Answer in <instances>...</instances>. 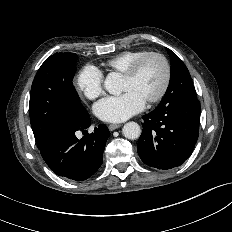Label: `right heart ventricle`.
Returning a JSON list of instances; mask_svg holds the SVG:
<instances>
[{
  "label": "right heart ventricle",
  "mask_w": 232,
  "mask_h": 232,
  "mask_svg": "<svg viewBox=\"0 0 232 232\" xmlns=\"http://www.w3.org/2000/svg\"><path fill=\"white\" fill-rule=\"evenodd\" d=\"M146 52L144 50L124 51L107 60L104 65L109 71L123 74L137 58Z\"/></svg>",
  "instance_id": "e07e8e85"
}]
</instances>
